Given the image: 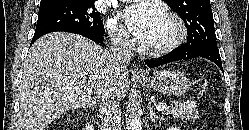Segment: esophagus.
Masks as SVG:
<instances>
[{"mask_svg":"<svg viewBox=\"0 0 249 130\" xmlns=\"http://www.w3.org/2000/svg\"><path fill=\"white\" fill-rule=\"evenodd\" d=\"M133 73L136 76H140V77H144L145 76V72L138 66H135L133 69Z\"/></svg>","mask_w":249,"mask_h":130,"instance_id":"34e87169","label":"esophagus"}]
</instances>
